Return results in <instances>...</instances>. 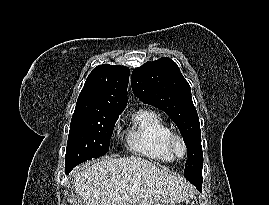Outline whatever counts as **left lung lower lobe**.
Listing matches in <instances>:
<instances>
[{"instance_id": "obj_1", "label": "left lung lower lobe", "mask_w": 269, "mask_h": 205, "mask_svg": "<svg viewBox=\"0 0 269 205\" xmlns=\"http://www.w3.org/2000/svg\"><path fill=\"white\" fill-rule=\"evenodd\" d=\"M197 182L194 184L198 190L202 189V176H198ZM193 184V183H192Z\"/></svg>"}]
</instances>
